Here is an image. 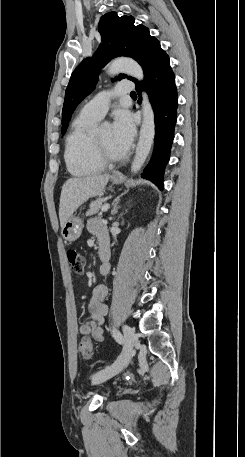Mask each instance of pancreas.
I'll use <instances>...</instances> for the list:
<instances>
[{
  "instance_id": "cf45deb5",
  "label": "pancreas",
  "mask_w": 245,
  "mask_h": 457,
  "mask_svg": "<svg viewBox=\"0 0 245 457\" xmlns=\"http://www.w3.org/2000/svg\"><path fill=\"white\" fill-rule=\"evenodd\" d=\"M106 198H96V200H91L89 204V208L86 212L87 216H90V214H96V212H99L102 202H105Z\"/></svg>"
}]
</instances>
